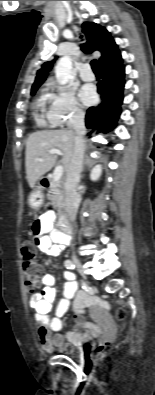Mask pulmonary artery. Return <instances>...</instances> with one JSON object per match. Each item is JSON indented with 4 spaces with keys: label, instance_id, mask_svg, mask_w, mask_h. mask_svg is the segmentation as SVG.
<instances>
[{
    "label": "pulmonary artery",
    "instance_id": "pulmonary-artery-1",
    "mask_svg": "<svg viewBox=\"0 0 155 395\" xmlns=\"http://www.w3.org/2000/svg\"><path fill=\"white\" fill-rule=\"evenodd\" d=\"M80 77L84 81H93L94 80V74L88 65H84L82 67V69L80 71Z\"/></svg>",
    "mask_w": 155,
    "mask_h": 395
}]
</instances>
